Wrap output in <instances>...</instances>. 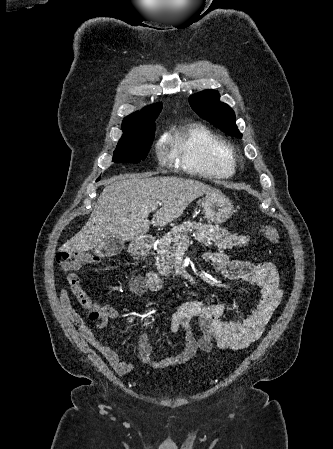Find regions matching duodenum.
<instances>
[{
  "mask_svg": "<svg viewBox=\"0 0 333 449\" xmlns=\"http://www.w3.org/2000/svg\"><path fill=\"white\" fill-rule=\"evenodd\" d=\"M154 237L146 236L136 240L131 247V253L133 256L140 257L145 255L153 246ZM147 283L150 289L153 291H160L164 288L163 279L156 273L150 272L147 277Z\"/></svg>",
  "mask_w": 333,
  "mask_h": 449,
  "instance_id": "1",
  "label": "duodenum"
}]
</instances>
